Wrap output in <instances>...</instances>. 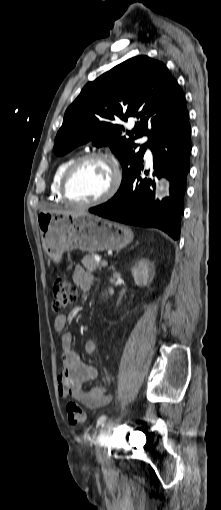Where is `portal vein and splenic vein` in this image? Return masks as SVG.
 Here are the masks:
<instances>
[{
  "mask_svg": "<svg viewBox=\"0 0 221 510\" xmlns=\"http://www.w3.org/2000/svg\"><path fill=\"white\" fill-rule=\"evenodd\" d=\"M97 260H98V261H100V259H97ZM97 260H96V261H97ZM98 261H97V262H98ZM101 265H102V266H104V267H106V266L108 265V262H107L106 260H103V261H101Z\"/></svg>",
  "mask_w": 221,
  "mask_h": 510,
  "instance_id": "18ae733b",
  "label": "portal vein and splenic vein"
}]
</instances>
